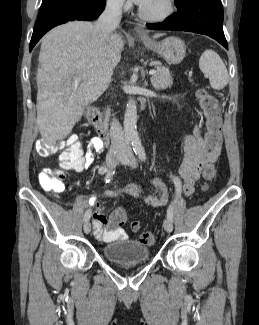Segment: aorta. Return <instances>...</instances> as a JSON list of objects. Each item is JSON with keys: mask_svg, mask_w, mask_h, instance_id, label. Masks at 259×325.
<instances>
[{"mask_svg": "<svg viewBox=\"0 0 259 325\" xmlns=\"http://www.w3.org/2000/svg\"><path fill=\"white\" fill-rule=\"evenodd\" d=\"M137 107L134 100H129L124 114V133L125 138L132 142L136 149L140 147V141L137 132Z\"/></svg>", "mask_w": 259, "mask_h": 325, "instance_id": "762f6f07", "label": "aorta"}]
</instances>
